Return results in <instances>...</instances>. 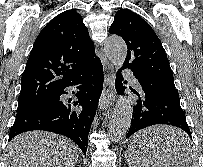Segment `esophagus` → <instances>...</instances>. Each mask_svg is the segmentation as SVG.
Instances as JSON below:
<instances>
[{
  "label": "esophagus",
  "instance_id": "obj_1",
  "mask_svg": "<svg viewBox=\"0 0 203 167\" xmlns=\"http://www.w3.org/2000/svg\"><path fill=\"white\" fill-rule=\"evenodd\" d=\"M105 85L103 93L99 100L100 110H107L112 105L115 99V74L112 70L105 74Z\"/></svg>",
  "mask_w": 203,
  "mask_h": 167
}]
</instances>
